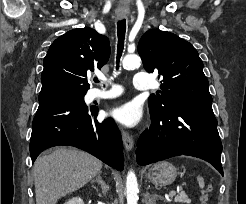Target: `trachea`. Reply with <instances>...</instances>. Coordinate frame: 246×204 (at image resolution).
I'll list each match as a JSON object with an SVG mask.
<instances>
[{"mask_svg": "<svg viewBox=\"0 0 246 204\" xmlns=\"http://www.w3.org/2000/svg\"><path fill=\"white\" fill-rule=\"evenodd\" d=\"M125 33H126V20L123 19L117 22V36H118L117 66H116L117 70L119 69V60L124 48ZM94 81L99 82L97 78L94 79Z\"/></svg>", "mask_w": 246, "mask_h": 204, "instance_id": "trachea-1", "label": "trachea"}]
</instances>
